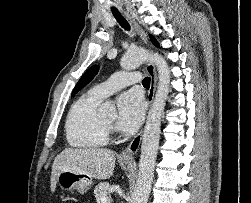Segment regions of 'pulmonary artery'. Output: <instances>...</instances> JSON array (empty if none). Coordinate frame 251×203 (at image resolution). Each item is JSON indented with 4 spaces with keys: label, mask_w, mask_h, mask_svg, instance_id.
<instances>
[{
    "label": "pulmonary artery",
    "mask_w": 251,
    "mask_h": 203,
    "mask_svg": "<svg viewBox=\"0 0 251 203\" xmlns=\"http://www.w3.org/2000/svg\"><path fill=\"white\" fill-rule=\"evenodd\" d=\"M141 80L139 73L117 72L109 77L106 81L92 87L89 94L103 100L115 91L131 84H136Z\"/></svg>",
    "instance_id": "pulmonary-artery-1"
}]
</instances>
